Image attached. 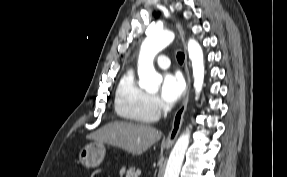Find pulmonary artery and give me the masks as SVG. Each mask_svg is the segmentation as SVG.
Wrapping results in <instances>:
<instances>
[{"label":"pulmonary artery","mask_w":287,"mask_h":177,"mask_svg":"<svg viewBox=\"0 0 287 177\" xmlns=\"http://www.w3.org/2000/svg\"><path fill=\"white\" fill-rule=\"evenodd\" d=\"M157 65L160 68H168L170 66L169 58L166 55H159L157 57Z\"/></svg>","instance_id":"pulmonary-artery-1"}]
</instances>
